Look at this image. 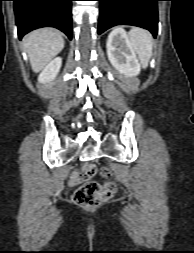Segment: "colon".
<instances>
[{
	"mask_svg": "<svg viewBox=\"0 0 194 253\" xmlns=\"http://www.w3.org/2000/svg\"><path fill=\"white\" fill-rule=\"evenodd\" d=\"M95 172L96 168L92 164H85L82 167L80 177L86 182L78 187L73 194L75 204L80 207H96L107 201L116 192V185L113 182L109 181L104 184L91 182L90 179L95 175ZM101 174L108 177L110 176V171L108 168L103 167L101 169Z\"/></svg>",
	"mask_w": 194,
	"mask_h": 253,
	"instance_id": "1",
	"label": "colon"
}]
</instances>
